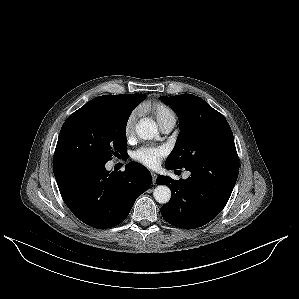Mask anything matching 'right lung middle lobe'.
I'll use <instances>...</instances> for the list:
<instances>
[{"label":"right lung middle lobe","mask_w":299,"mask_h":299,"mask_svg":"<svg viewBox=\"0 0 299 299\" xmlns=\"http://www.w3.org/2000/svg\"><path fill=\"white\" fill-rule=\"evenodd\" d=\"M146 98L130 102L93 99L64 122L55 153L71 152L107 162L126 155V125L131 111Z\"/></svg>","instance_id":"right-lung-middle-lobe-1"}]
</instances>
